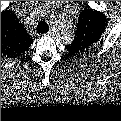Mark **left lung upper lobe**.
Returning a JSON list of instances; mask_svg holds the SVG:
<instances>
[{"label":"left lung upper lobe","instance_id":"1","mask_svg":"<svg viewBox=\"0 0 121 121\" xmlns=\"http://www.w3.org/2000/svg\"><path fill=\"white\" fill-rule=\"evenodd\" d=\"M107 25L106 16L90 8L80 13L78 28L71 45L67 50L72 54L86 52L97 43L105 31Z\"/></svg>","mask_w":121,"mask_h":121}]
</instances>
